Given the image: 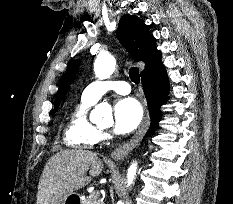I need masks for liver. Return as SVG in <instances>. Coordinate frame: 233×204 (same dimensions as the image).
Here are the masks:
<instances>
[{"label":"liver","mask_w":233,"mask_h":204,"mask_svg":"<svg viewBox=\"0 0 233 204\" xmlns=\"http://www.w3.org/2000/svg\"><path fill=\"white\" fill-rule=\"evenodd\" d=\"M103 169L97 154L88 150H62L46 163L38 184L37 204H60L86 186ZM89 171L90 176H86Z\"/></svg>","instance_id":"obj_1"}]
</instances>
